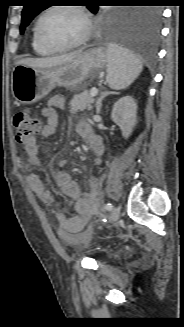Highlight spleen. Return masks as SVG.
<instances>
[{"instance_id": "3e777b00", "label": "spleen", "mask_w": 184, "mask_h": 327, "mask_svg": "<svg viewBox=\"0 0 184 327\" xmlns=\"http://www.w3.org/2000/svg\"><path fill=\"white\" fill-rule=\"evenodd\" d=\"M106 55V81L112 89H125L133 83L143 69L139 58L116 44L107 46Z\"/></svg>"}]
</instances>
